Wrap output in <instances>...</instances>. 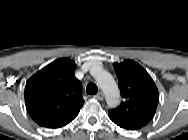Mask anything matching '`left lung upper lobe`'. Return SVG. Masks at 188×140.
<instances>
[{
  "mask_svg": "<svg viewBox=\"0 0 188 140\" xmlns=\"http://www.w3.org/2000/svg\"><path fill=\"white\" fill-rule=\"evenodd\" d=\"M122 104L109 111V118L125 129L137 130L144 127L154 116L159 94L149 74L136 62L126 60L114 64Z\"/></svg>",
  "mask_w": 188,
  "mask_h": 140,
  "instance_id": "obj_1",
  "label": "left lung upper lobe"
}]
</instances>
